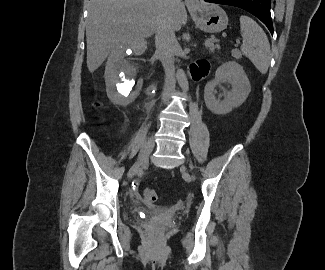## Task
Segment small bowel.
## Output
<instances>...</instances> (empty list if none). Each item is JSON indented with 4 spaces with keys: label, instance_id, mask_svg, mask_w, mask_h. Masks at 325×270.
Returning a JSON list of instances; mask_svg holds the SVG:
<instances>
[{
    "label": "small bowel",
    "instance_id": "obj_1",
    "mask_svg": "<svg viewBox=\"0 0 325 270\" xmlns=\"http://www.w3.org/2000/svg\"><path fill=\"white\" fill-rule=\"evenodd\" d=\"M208 71L209 63L205 59H199L189 66V72L194 80L203 78Z\"/></svg>",
    "mask_w": 325,
    "mask_h": 270
}]
</instances>
